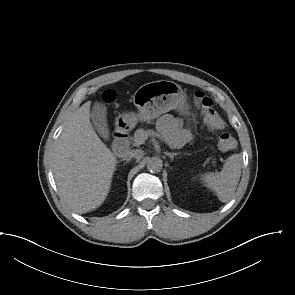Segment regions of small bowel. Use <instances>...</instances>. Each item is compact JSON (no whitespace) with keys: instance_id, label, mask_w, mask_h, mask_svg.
<instances>
[{"instance_id":"small-bowel-1","label":"small bowel","mask_w":295,"mask_h":295,"mask_svg":"<svg viewBox=\"0 0 295 295\" xmlns=\"http://www.w3.org/2000/svg\"><path fill=\"white\" fill-rule=\"evenodd\" d=\"M157 126L161 131L172 135L177 144L185 143L190 139V132L184 129L179 120L172 116L161 117L157 122Z\"/></svg>"}]
</instances>
